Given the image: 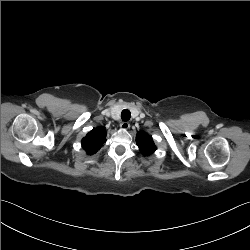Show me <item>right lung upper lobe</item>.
Here are the masks:
<instances>
[{
	"label": "right lung upper lobe",
	"mask_w": 250,
	"mask_h": 250,
	"mask_svg": "<svg viewBox=\"0 0 250 250\" xmlns=\"http://www.w3.org/2000/svg\"><path fill=\"white\" fill-rule=\"evenodd\" d=\"M106 132L102 127L94 128L82 139V147L87 154L96 153L104 144Z\"/></svg>",
	"instance_id": "cb5924a9"
}]
</instances>
